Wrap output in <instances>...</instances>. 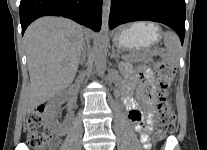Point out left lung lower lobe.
<instances>
[{
    "label": "left lung lower lobe",
    "mask_w": 207,
    "mask_h": 150,
    "mask_svg": "<svg viewBox=\"0 0 207 150\" xmlns=\"http://www.w3.org/2000/svg\"><path fill=\"white\" fill-rule=\"evenodd\" d=\"M185 14L184 0H111L109 27L140 20L160 22L171 27L183 44Z\"/></svg>",
    "instance_id": "1"
}]
</instances>
